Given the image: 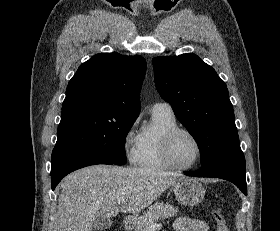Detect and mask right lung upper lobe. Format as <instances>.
<instances>
[{"label":"right lung upper lobe","mask_w":280,"mask_h":231,"mask_svg":"<svg viewBox=\"0 0 280 231\" xmlns=\"http://www.w3.org/2000/svg\"><path fill=\"white\" fill-rule=\"evenodd\" d=\"M146 61L139 55L100 53L80 65L69 81L61 120L90 117L135 119Z\"/></svg>","instance_id":"cb5924a9"}]
</instances>
